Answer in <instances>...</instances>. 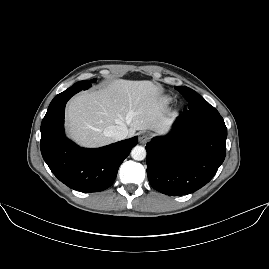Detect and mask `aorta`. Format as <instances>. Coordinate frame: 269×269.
<instances>
[{
  "mask_svg": "<svg viewBox=\"0 0 269 269\" xmlns=\"http://www.w3.org/2000/svg\"><path fill=\"white\" fill-rule=\"evenodd\" d=\"M134 160L141 161L146 157V150L143 146H135L131 151Z\"/></svg>",
  "mask_w": 269,
  "mask_h": 269,
  "instance_id": "aorta-1",
  "label": "aorta"
}]
</instances>
